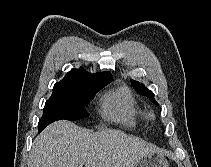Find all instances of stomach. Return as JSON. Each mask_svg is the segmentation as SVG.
<instances>
[{
	"instance_id": "0dacf381",
	"label": "stomach",
	"mask_w": 211,
	"mask_h": 167,
	"mask_svg": "<svg viewBox=\"0 0 211 167\" xmlns=\"http://www.w3.org/2000/svg\"><path fill=\"white\" fill-rule=\"evenodd\" d=\"M133 167H169V163L163 154L155 151L140 159Z\"/></svg>"
}]
</instances>
